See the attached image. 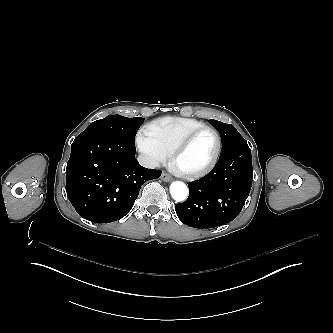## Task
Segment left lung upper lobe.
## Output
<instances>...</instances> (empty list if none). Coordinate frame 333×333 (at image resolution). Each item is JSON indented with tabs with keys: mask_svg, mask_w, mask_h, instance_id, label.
Returning <instances> with one entry per match:
<instances>
[{
	"mask_svg": "<svg viewBox=\"0 0 333 333\" xmlns=\"http://www.w3.org/2000/svg\"><path fill=\"white\" fill-rule=\"evenodd\" d=\"M209 122L217 129L222 139L221 155L229 152L235 147L246 145L247 142L240 133L231 124H226L217 120H209Z\"/></svg>",
	"mask_w": 333,
	"mask_h": 333,
	"instance_id": "left-lung-upper-lobe-1",
	"label": "left lung upper lobe"
}]
</instances>
